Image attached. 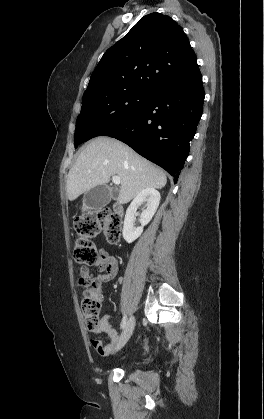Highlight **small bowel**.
<instances>
[{
	"label": "small bowel",
	"mask_w": 264,
	"mask_h": 419,
	"mask_svg": "<svg viewBox=\"0 0 264 419\" xmlns=\"http://www.w3.org/2000/svg\"><path fill=\"white\" fill-rule=\"evenodd\" d=\"M94 266L96 269L95 273L87 266L80 267L77 285L79 287H92L102 295L103 283L113 280L118 273V262L116 257L109 251L100 249L98 260ZM109 319V315H104L100 319L99 329L93 331L94 333H105L108 337V342L104 344L98 339L90 340V344L94 350L103 357H108L118 350L120 339L116 329L110 325Z\"/></svg>",
	"instance_id": "small-bowel-1"
}]
</instances>
